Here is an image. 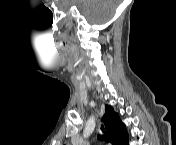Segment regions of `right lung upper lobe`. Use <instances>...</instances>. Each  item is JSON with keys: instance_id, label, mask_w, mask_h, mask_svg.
I'll use <instances>...</instances> for the list:
<instances>
[{"instance_id": "obj_1", "label": "right lung upper lobe", "mask_w": 176, "mask_h": 145, "mask_svg": "<svg viewBox=\"0 0 176 145\" xmlns=\"http://www.w3.org/2000/svg\"><path fill=\"white\" fill-rule=\"evenodd\" d=\"M105 124L104 136L99 137L112 145H127L128 134L125 125L120 121L118 114L109 105L105 106V114L102 117Z\"/></svg>"}]
</instances>
